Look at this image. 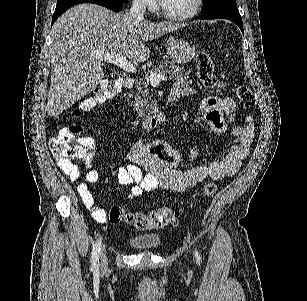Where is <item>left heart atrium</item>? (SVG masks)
<instances>
[{
  "label": "left heart atrium",
  "instance_id": "left-heart-atrium-1",
  "mask_svg": "<svg viewBox=\"0 0 307 301\" xmlns=\"http://www.w3.org/2000/svg\"><path fill=\"white\" fill-rule=\"evenodd\" d=\"M130 62H141V61H130Z\"/></svg>",
  "mask_w": 307,
  "mask_h": 301
}]
</instances>
